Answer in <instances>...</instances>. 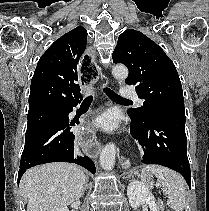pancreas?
I'll list each match as a JSON object with an SVG mask.
<instances>
[{
    "instance_id": "obj_1",
    "label": "pancreas",
    "mask_w": 209,
    "mask_h": 211,
    "mask_svg": "<svg viewBox=\"0 0 209 211\" xmlns=\"http://www.w3.org/2000/svg\"><path fill=\"white\" fill-rule=\"evenodd\" d=\"M145 183L149 188H153V183L151 181L146 180Z\"/></svg>"
}]
</instances>
